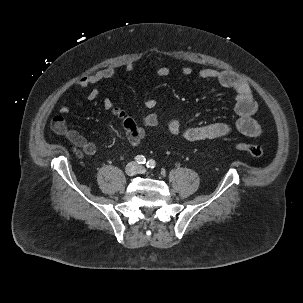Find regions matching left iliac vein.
Instances as JSON below:
<instances>
[{
	"label": "left iliac vein",
	"instance_id": "4c4485c4",
	"mask_svg": "<svg viewBox=\"0 0 303 303\" xmlns=\"http://www.w3.org/2000/svg\"><path fill=\"white\" fill-rule=\"evenodd\" d=\"M146 172V169L143 166H138V173L144 174Z\"/></svg>",
	"mask_w": 303,
	"mask_h": 303
}]
</instances>
